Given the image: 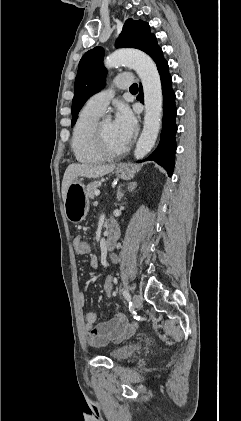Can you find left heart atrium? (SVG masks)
Here are the masks:
<instances>
[{"instance_id": "left-heart-atrium-1", "label": "left heart atrium", "mask_w": 241, "mask_h": 421, "mask_svg": "<svg viewBox=\"0 0 241 421\" xmlns=\"http://www.w3.org/2000/svg\"><path fill=\"white\" fill-rule=\"evenodd\" d=\"M113 125L119 137L126 144L133 138L137 129L136 118L131 110L124 105L118 108Z\"/></svg>"}]
</instances>
